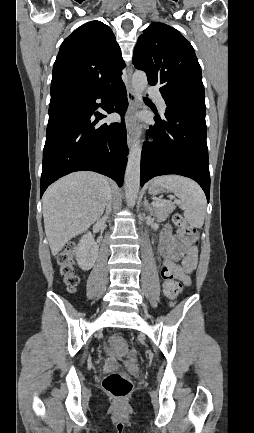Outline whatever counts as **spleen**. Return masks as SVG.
<instances>
[{
    "mask_svg": "<svg viewBox=\"0 0 254 433\" xmlns=\"http://www.w3.org/2000/svg\"><path fill=\"white\" fill-rule=\"evenodd\" d=\"M152 185L161 186L173 192L180 200V207L184 210L187 222L195 228L203 226L206 197L195 181L178 175H165L157 177Z\"/></svg>",
    "mask_w": 254,
    "mask_h": 433,
    "instance_id": "spleen-1",
    "label": "spleen"
}]
</instances>
